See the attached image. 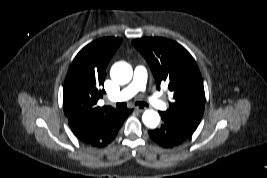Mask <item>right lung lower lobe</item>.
I'll return each instance as SVG.
<instances>
[{
    "label": "right lung lower lobe",
    "mask_w": 267,
    "mask_h": 178,
    "mask_svg": "<svg viewBox=\"0 0 267 178\" xmlns=\"http://www.w3.org/2000/svg\"><path fill=\"white\" fill-rule=\"evenodd\" d=\"M132 109L121 108L110 115L86 124L76 137L85 145L94 148H103L109 145L116 137L120 127Z\"/></svg>",
    "instance_id": "obj_1"
}]
</instances>
